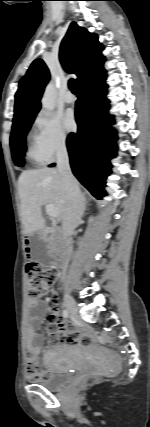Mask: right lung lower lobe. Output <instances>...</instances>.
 <instances>
[{"label":"right lung lower lobe","instance_id":"right-lung-lower-lobe-1","mask_svg":"<svg viewBox=\"0 0 150 427\" xmlns=\"http://www.w3.org/2000/svg\"><path fill=\"white\" fill-rule=\"evenodd\" d=\"M105 79L106 71L79 87L75 112L78 131L67 138L74 175L98 199L106 194L105 179L111 172L109 160L116 156L117 139L110 127L114 119L108 113Z\"/></svg>","mask_w":150,"mask_h":427}]
</instances>
